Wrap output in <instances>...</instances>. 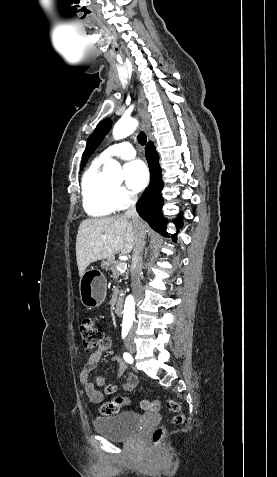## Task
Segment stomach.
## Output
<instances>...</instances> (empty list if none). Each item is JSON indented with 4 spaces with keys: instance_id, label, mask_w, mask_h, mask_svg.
Listing matches in <instances>:
<instances>
[{
    "instance_id": "obj_1",
    "label": "stomach",
    "mask_w": 277,
    "mask_h": 477,
    "mask_svg": "<svg viewBox=\"0 0 277 477\" xmlns=\"http://www.w3.org/2000/svg\"><path fill=\"white\" fill-rule=\"evenodd\" d=\"M107 280L98 270H86L80 277L79 294L81 303L87 308L100 306L106 297Z\"/></svg>"
}]
</instances>
